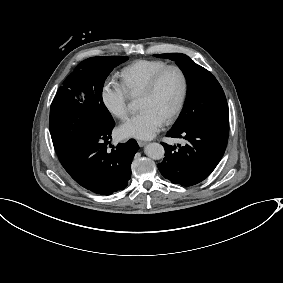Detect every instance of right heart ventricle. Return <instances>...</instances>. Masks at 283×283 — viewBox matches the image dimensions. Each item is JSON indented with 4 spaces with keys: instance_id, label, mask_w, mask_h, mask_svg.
<instances>
[{
    "instance_id": "e07e8e85",
    "label": "right heart ventricle",
    "mask_w": 283,
    "mask_h": 283,
    "mask_svg": "<svg viewBox=\"0 0 283 283\" xmlns=\"http://www.w3.org/2000/svg\"><path fill=\"white\" fill-rule=\"evenodd\" d=\"M168 63L161 59H139L119 71L121 84L129 96L140 94L149 79Z\"/></svg>"
}]
</instances>
